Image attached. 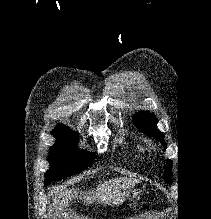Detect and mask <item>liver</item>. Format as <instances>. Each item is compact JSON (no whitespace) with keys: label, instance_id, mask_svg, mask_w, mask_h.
<instances>
[{"label":"liver","instance_id":"liver-1","mask_svg":"<svg viewBox=\"0 0 211 219\" xmlns=\"http://www.w3.org/2000/svg\"><path fill=\"white\" fill-rule=\"evenodd\" d=\"M136 180L132 178H116L109 180V182H105L101 186L98 187L97 193H94L92 190L91 194L84 192L79 196L80 200L84 199L86 204H92L94 201H98L104 203L105 205H118L120 204L126 196L125 190L130 188L135 184ZM121 190L123 192H121ZM59 197L54 198L53 207H55L58 211H63V208L69 206V201H72L73 198L78 199V191L77 190H64V191H56Z\"/></svg>","mask_w":211,"mask_h":219}]
</instances>
